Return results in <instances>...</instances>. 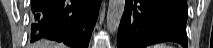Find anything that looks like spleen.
I'll list each match as a JSON object with an SVG mask.
<instances>
[{"mask_svg":"<svg viewBox=\"0 0 213 48\" xmlns=\"http://www.w3.org/2000/svg\"><path fill=\"white\" fill-rule=\"evenodd\" d=\"M154 48H173V46L162 43V44L156 45Z\"/></svg>","mask_w":213,"mask_h":48,"instance_id":"1","label":"spleen"}]
</instances>
